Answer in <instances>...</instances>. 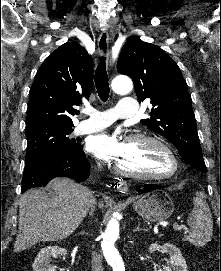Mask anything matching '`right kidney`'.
Wrapping results in <instances>:
<instances>
[{
    "instance_id": "obj_1",
    "label": "right kidney",
    "mask_w": 221,
    "mask_h": 271,
    "mask_svg": "<svg viewBox=\"0 0 221 271\" xmlns=\"http://www.w3.org/2000/svg\"><path fill=\"white\" fill-rule=\"evenodd\" d=\"M67 249L60 245H46L38 251L33 263V271H57L55 265L50 263L51 257L55 255H66Z\"/></svg>"
}]
</instances>
